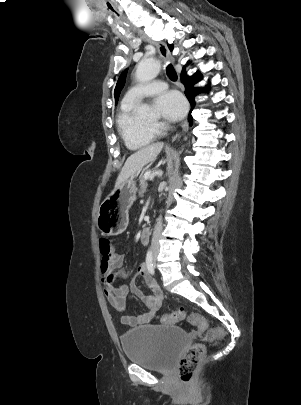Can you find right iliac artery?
<instances>
[{"mask_svg": "<svg viewBox=\"0 0 301 405\" xmlns=\"http://www.w3.org/2000/svg\"><path fill=\"white\" fill-rule=\"evenodd\" d=\"M152 252L149 250L146 255V266L151 274H154V267L152 262Z\"/></svg>", "mask_w": 301, "mask_h": 405, "instance_id": "1", "label": "right iliac artery"}]
</instances>
